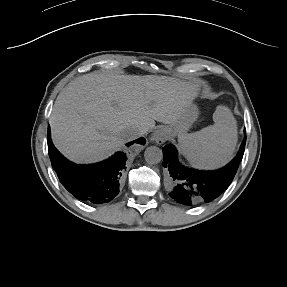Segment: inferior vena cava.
Returning <instances> with one entry per match:
<instances>
[{
    "label": "inferior vena cava",
    "instance_id": "obj_1",
    "mask_svg": "<svg viewBox=\"0 0 287 287\" xmlns=\"http://www.w3.org/2000/svg\"><path fill=\"white\" fill-rule=\"evenodd\" d=\"M146 131L137 127H128L123 131V135L127 139V141H132L137 139L138 137L144 135Z\"/></svg>",
    "mask_w": 287,
    "mask_h": 287
}]
</instances>
